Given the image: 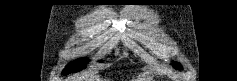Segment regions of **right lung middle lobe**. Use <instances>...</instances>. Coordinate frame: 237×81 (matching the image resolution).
<instances>
[{
    "label": "right lung middle lobe",
    "mask_w": 237,
    "mask_h": 81,
    "mask_svg": "<svg viewBox=\"0 0 237 81\" xmlns=\"http://www.w3.org/2000/svg\"><path fill=\"white\" fill-rule=\"evenodd\" d=\"M87 59H80L70 63L62 72V74L67 75L71 72H78L85 67Z\"/></svg>",
    "instance_id": "1"
}]
</instances>
